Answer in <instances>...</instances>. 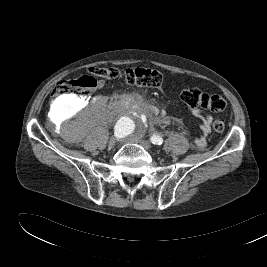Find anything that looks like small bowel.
<instances>
[{"label":"small bowel","instance_id":"1","mask_svg":"<svg viewBox=\"0 0 267 267\" xmlns=\"http://www.w3.org/2000/svg\"><path fill=\"white\" fill-rule=\"evenodd\" d=\"M103 86V82L99 83V87ZM193 115L196 116L201 121V135L196 139V145L198 147H204L206 144V135H208L211 131L210 124H211V118L208 114L205 112L194 109L192 111Z\"/></svg>","mask_w":267,"mask_h":267}]
</instances>
